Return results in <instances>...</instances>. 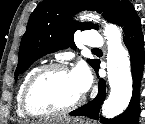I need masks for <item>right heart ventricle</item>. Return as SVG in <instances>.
I'll return each instance as SVG.
<instances>
[{
    "mask_svg": "<svg viewBox=\"0 0 145 124\" xmlns=\"http://www.w3.org/2000/svg\"><path fill=\"white\" fill-rule=\"evenodd\" d=\"M38 68H32L30 69L25 76L23 77V79L21 80L17 92H16V106H17V112L21 117H26V114L24 113L23 109H22V105H21V98H22V92L23 89L25 87L26 82L28 81V79L30 78V76L37 70Z\"/></svg>",
    "mask_w": 145,
    "mask_h": 124,
    "instance_id": "1",
    "label": "right heart ventricle"
}]
</instances>
